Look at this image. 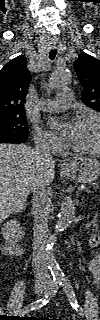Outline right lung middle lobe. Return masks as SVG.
I'll list each match as a JSON object with an SVG mask.
<instances>
[{
  "label": "right lung middle lobe",
  "instance_id": "dd1d6c3e",
  "mask_svg": "<svg viewBox=\"0 0 100 320\" xmlns=\"http://www.w3.org/2000/svg\"><path fill=\"white\" fill-rule=\"evenodd\" d=\"M29 132L26 117L0 119V140L21 138L26 140Z\"/></svg>",
  "mask_w": 100,
  "mask_h": 320
}]
</instances>
